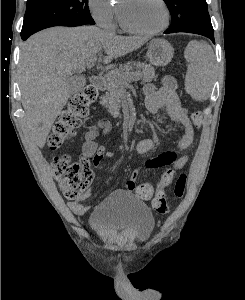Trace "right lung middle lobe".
I'll return each mask as SVG.
<instances>
[{"label": "right lung middle lobe", "instance_id": "obj_1", "mask_svg": "<svg viewBox=\"0 0 245 300\" xmlns=\"http://www.w3.org/2000/svg\"><path fill=\"white\" fill-rule=\"evenodd\" d=\"M95 24L87 0H28L21 36L53 26Z\"/></svg>", "mask_w": 245, "mask_h": 300}]
</instances>
